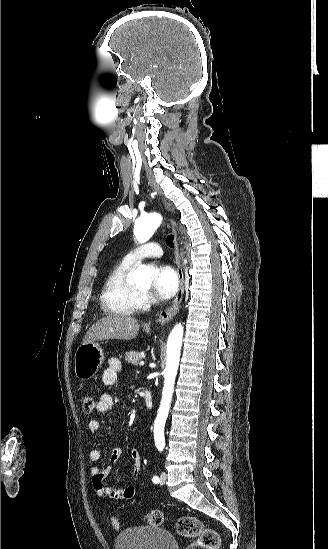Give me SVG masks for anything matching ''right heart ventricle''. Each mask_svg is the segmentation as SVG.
<instances>
[{"label":"right heart ventricle","mask_w":328,"mask_h":549,"mask_svg":"<svg viewBox=\"0 0 328 549\" xmlns=\"http://www.w3.org/2000/svg\"><path fill=\"white\" fill-rule=\"evenodd\" d=\"M137 264L125 256L108 276L100 296L103 319H137L138 311L146 304L131 282Z\"/></svg>","instance_id":"1"}]
</instances>
